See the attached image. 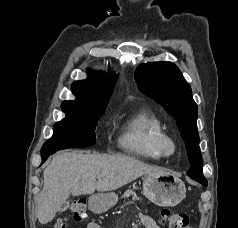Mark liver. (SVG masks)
I'll return each instance as SVG.
<instances>
[{"mask_svg": "<svg viewBox=\"0 0 238 228\" xmlns=\"http://www.w3.org/2000/svg\"><path fill=\"white\" fill-rule=\"evenodd\" d=\"M161 171L125 155L60 153L43 172L44 185L36 202L38 221L41 224L52 221L70 194L80 196L93 194L95 190H115L142 175Z\"/></svg>", "mask_w": 238, "mask_h": 228, "instance_id": "6515ba94", "label": "liver"}]
</instances>
